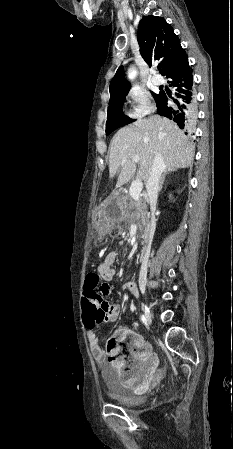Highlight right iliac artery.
<instances>
[{"instance_id":"1","label":"right iliac artery","mask_w":233,"mask_h":449,"mask_svg":"<svg viewBox=\"0 0 233 449\" xmlns=\"http://www.w3.org/2000/svg\"><path fill=\"white\" fill-rule=\"evenodd\" d=\"M141 319H142V321H143L144 324H147V320H146V318H145L144 315L141 316Z\"/></svg>"}]
</instances>
